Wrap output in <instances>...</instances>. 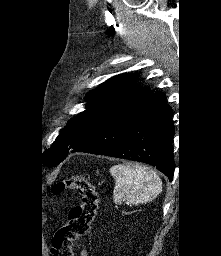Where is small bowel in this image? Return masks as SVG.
<instances>
[{
	"instance_id": "1",
	"label": "small bowel",
	"mask_w": 221,
	"mask_h": 256,
	"mask_svg": "<svg viewBox=\"0 0 221 256\" xmlns=\"http://www.w3.org/2000/svg\"><path fill=\"white\" fill-rule=\"evenodd\" d=\"M82 256H86L85 252H82Z\"/></svg>"
}]
</instances>
